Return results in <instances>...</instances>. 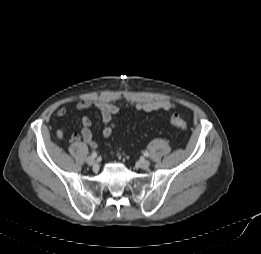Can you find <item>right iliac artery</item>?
I'll use <instances>...</instances> for the list:
<instances>
[{"label": "right iliac artery", "instance_id": "1", "mask_svg": "<svg viewBox=\"0 0 261 254\" xmlns=\"http://www.w3.org/2000/svg\"><path fill=\"white\" fill-rule=\"evenodd\" d=\"M91 156L95 158L97 156V153L96 152H92Z\"/></svg>", "mask_w": 261, "mask_h": 254}]
</instances>
